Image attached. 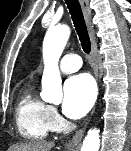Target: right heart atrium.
I'll list each match as a JSON object with an SVG mask.
<instances>
[{
  "label": "right heart atrium",
  "mask_w": 131,
  "mask_h": 151,
  "mask_svg": "<svg viewBox=\"0 0 131 151\" xmlns=\"http://www.w3.org/2000/svg\"><path fill=\"white\" fill-rule=\"evenodd\" d=\"M48 116L53 128H59L62 123V118L55 107L49 106Z\"/></svg>",
  "instance_id": "d8ad5b80"
}]
</instances>
